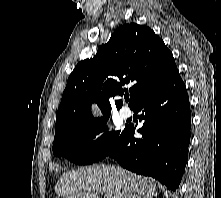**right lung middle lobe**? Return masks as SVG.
Here are the masks:
<instances>
[{
  "instance_id": "obj_1",
  "label": "right lung middle lobe",
  "mask_w": 221,
  "mask_h": 198,
  "mask_svg": "<svg viewBox=\"0 0 221 198\" xmlns=\"http://www.w3.org/2000/svg\"><path fill=\"white\" fill-rule=\"evenodd\" d=\"M109 116L56 136L53 142V154L58 157L63 156L78 165H89L105 158L117 147L127 127L125 126L122 133L107 132L96 141H92L97 134L107 131L106 120Z\"/></svg>"
}]
</instances>
